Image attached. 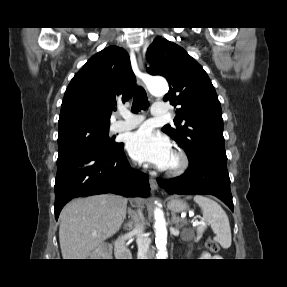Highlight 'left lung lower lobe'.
I'll list each match as a JSON object with an SVG mask.
<instances>
[{
  "label": "left lung lower lobe",
  "mask_w": 287,
  "mask_h": 287,
  "mask_svg": "<svg viewBox=\"0 0 287 287\" xmlns=\"http://www.w3.org/2000/svg\"><path fill=\"white\" fill-rule=\"evenodd\" d=\"M158 184L169 194H208L221 199L232 211L230 178L227 168L206 164L187 171L170 180L157 179Z\"/></svg>",
  "instance_id": "obj_1"
}]
</instances>
